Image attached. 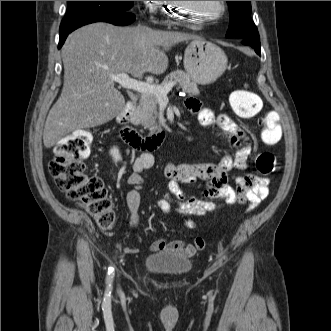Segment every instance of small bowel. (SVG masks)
Returning <instances> with one entry per match:
<instances>
[{
    "instance_id": "obj_1",
    "label": "small bowel",
    "mask_w": 331,
    "mask_h": 331,
    "mask_svg": "<svg viewBox=\"0 0 331 331\" xmlns=\"http://www.w3.org/2000/svg\"><path fill=\"white\" fill-rule=\"evenodd\" d=\"M186 107L196 114L198 122L212 128L218 135L226 138L234 148L233 155H225L218 163L201 164H174L168 162L164 169L166 178L170 180L169 194L159 202L162 210L169 212L172 202L176 204L177 211L186 217V225L192 227V217H199L206 212L216 209V205L209 201L214 198H223L228 205L248 202L249 209H253L258 203L267 197L269 193V180L262 176L249 174L237 176L235 187L227 183V173L232 169L245 170L249 165L252 153V143L241 127L228 115H216L212 110L204 108L194 99L186 100ZM153 156L145 152L138 156L133 165L132 172L127 177V183L131 189L126 195V204L130 212V226L132 229L140 228L139 207L141 202L140 191L142 188V173L153 166ZM198 179L205 180L207 185L201 197L187 194L179 185H192ZM139 240V239H137ZM137 247H127L124 252L133 254ZM161 250H175L188 257L196 252L193 244L183 241L168 242L166 239H158L150 246L151 252Z\"/></svg>"
}]
</instances>
